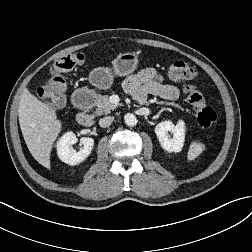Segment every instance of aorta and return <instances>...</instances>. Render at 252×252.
<instances>
[{
    "instance_id": "1",
    "label": "aorta",
    "mask_w": 252,
    "mask_h": 252,
    "mask_svg": "<svg viewBox=\"0 0 252 252\" xmlns=\"http://www.w3.org/2000/svg\"><path fill=\"white\" fill-rule=\"evenodd\" d=\"M124 120L128 126H135L137 124L136 116L133 114H130V113H128L124 116Z\"/></svg>"
}]
</instances>
